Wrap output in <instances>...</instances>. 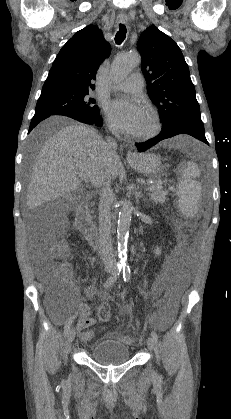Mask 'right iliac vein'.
Here are the masks:
<instances>
[{"label": "right iliac vein", "mask_w": 231, "mask_h": 419, "mask_svg": "<svg viewBox=\"0 0 231 419\" xmlns=\"http://www.w3.org/2000/svg\"><path fill=\"white\" fill-rule=\"evenodd\" d=\"M75 334H76V332H75L74 328L69 330V332L67 334V341H68L69 344L73 342V340L75 338Z\"/></svg>", "instance_id": "right-iliac-vein-1"}]
</instances>
